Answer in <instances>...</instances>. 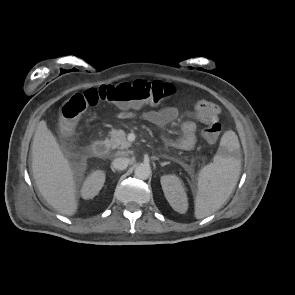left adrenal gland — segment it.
Instances as JSON below:
<instances>
[{
    "mask_svg": "<svg viewBox=\"0 0 295 295\" xmlns=\"http://www.w3.org/2000/svg\"><path fill=\"white\" fill-rule=\"evenodd\" d=\"M165 158H168L167 156H164ZM167 164H170V162H162L161 163V166H165V165H167Z\"/></svg>",
    "mask_w": 295,
    "mask_h": 295,
    "instance_id": "left-adrenal-gland-1",
    "label": "left adrenal gland"
}]
</instances>
